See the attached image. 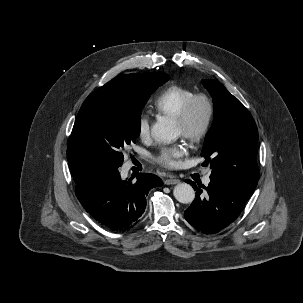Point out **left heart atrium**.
Returning a JSON list of instances; mask_svg holds the SVG:
<instances>
[{
	"instance_id": "1",
	"label": "left heart atrium",
	"mask_w": 303,
	"mask_h": 303,
	"mask_svg": "<svg viewBox=\"0 0 303 303\" xmlns=\"http://www.w3.org/2000/svg\"><path fill=\"white\" fill-rule=\"evenodd\" d=\"M185 153L186 149L181 145L166 146L160 150L156 160L164 167L175 168L178 166L179 159Z\"/></svg>"
}]
</instances>
